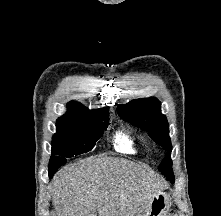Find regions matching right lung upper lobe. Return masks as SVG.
I'll use <instances>...</instances> for the list:
<instances>
[{
    "instance_id": "obj_1",
    "label": "right lung upper lobe",
    "mask_w": 221,
    "mask_h": 216,
    "mask_svg": "<svg viewBox=\"0 0 221 216\" xmlns=\"http://www.w3.org/2000/svg\"><path fill=\"white\" fill-rule=\"evenodd\" d=\"M68 109L69 111L66 114L58 118L56 126H61L70 123L79 118L101 116L108 113V107L98 110H89L82 104L74 101L68 103Z\"/></svg>"
}]
</instances>
